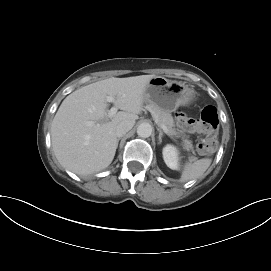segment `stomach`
Here are the masks:
<instances>
[{
    "label": "stomach",
    "mask_w": 271,
    "mask_h": 271,
    "mask_svg": "<svg viewBox=\"0 0 271 271\" xmlns=\"http://www.w3.org/2000/svg\"><path fill=\"white\" fill-rule=\"evenodd\" d=\"M196 99V92L180 82L161 76L152 78L144 92V101L157 105L166 112H173L179 106H185Z\"/></svg>",
    "instance_id": "0dacf381"
}]
</instances>
